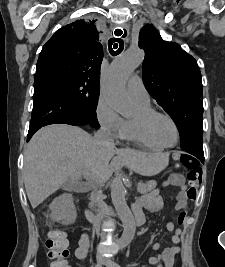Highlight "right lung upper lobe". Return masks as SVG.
<instances>
[{
	"mask_svg": "<svg viewBox=\"0 0 225 267\" xmlns=\"http://www.w3.org/2000/svg\"><path fill=\"white\" fill-rule=\"evenodd\" d=\"M103 48L94 21H75L58 31L44 45L36 74L75 76L99 85Z\"/></svg>",
	"mask_w": 225,
	"mask_h": 267,
	"instance_id": "cb5924a9",
	"label": "right lung upper lobe"
}]
</instances>
